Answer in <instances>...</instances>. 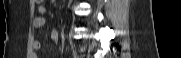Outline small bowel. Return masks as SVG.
<instances>
[{
    "mask_svg": "<svg viewBox=\"0 0 181 58\" xmlns=\"http://www.w3.org/2000/svg\"><path fill=\"white\" fill-rule=\"evenodd\" d=\"M44 11H45V7H44V4L43 3H40V6H39V12H40V15L39 16H37L35 19H34V21H33V27L35 28V30L37 31V32H40L42 29H43V27H44V25H45V18L43 17V13H44ZM51 39L53 40V41H58V39H59V33L57 32V31H53L52 33H51ZM40 46H41V44H40V42H39V40H34V42H33V49L35 50V51H37V50H39L40 49ZM36 57V56H35Z\"/></svg>",
    "mask_w": 181,
    "mask_h": 58,
    "instance_id": "small-bowel-1",
    "label": "small bowel"
}]
</instances>
